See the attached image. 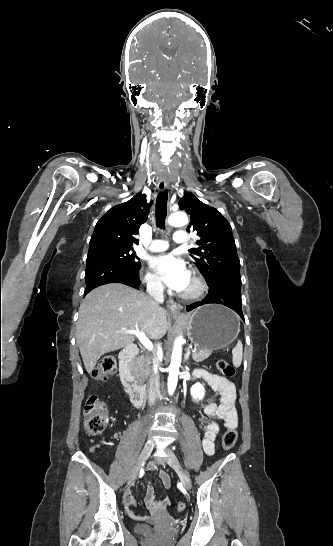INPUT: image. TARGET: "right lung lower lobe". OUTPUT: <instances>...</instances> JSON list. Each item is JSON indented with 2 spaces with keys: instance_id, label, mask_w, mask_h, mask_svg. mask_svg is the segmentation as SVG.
Listing matches in <instances>:
<instances>
[{
  "instance_id": "right-lung-lower-lobe-1",
  "label": "right lung lower lobe",
  "mask_w": 333,
  "mask_h": 546,
  "mask_svg": "<svg viewBox=\"0 0 333 546\" xmlns=\"http://www.w3.org/2000/svg\"><path fill=\"white\" fill-rule=\"evenodd\" d=\"M139 269L109 259L92 258L86 261L84 296L94 288L108 283H123L138 288L141 283Z\"/></svg>"
}]
</instances>
